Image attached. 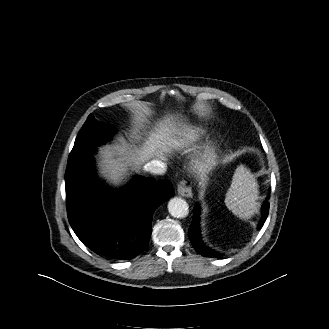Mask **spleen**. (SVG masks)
Listing matches in <instances>:
<instances>
[{
  "label": "spleen",
  "mask_w": 329,
  "mask_h": 329,
  "mask_svg": "<svg viewBox=\"0 0 329 329\" xmlns=\"http://www.w3.org/2000/svg\"><path fill=\"white\" fill-rule=\"evenodd\" d=\"M258 184L250 170L244 165L236 168L230 188L226 193L225 204L241 219H248L257 211Z\"/></svg>",
  "instance_id": "3e777b00"
}]
</instances>
